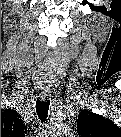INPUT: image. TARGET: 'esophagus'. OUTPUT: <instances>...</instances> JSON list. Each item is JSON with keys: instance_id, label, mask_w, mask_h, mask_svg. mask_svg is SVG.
Wrapping results in <instances>:
<instances>
[{"instance_id": "34e87169", "label": "esophagus", "mask_w": 121, "mask_h": 137, "mask_svg": "<svg viewBox=\"0 0 121 137\" xmlns=\"http://www.w3.org/2000/svg\"><path fill=\"white\" fill-rule=\"evenodd\" d=\"M51 91L48 87L43 88L40 94V97L42 98V100H47L50 97Z\"/></svg>"}]
</instances>
